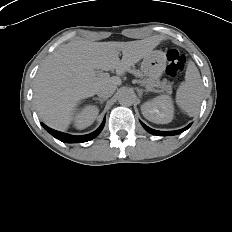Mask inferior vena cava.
<instances>
[{"mask_svg": "<svg viewBox=\"0 0 232 232\" xmlns=\"http://www.w3.org/2000/svg\"><path fill=\"white\" fill-rule=\"evenodd\" d=\"M115 90H116V84L110 80H106L100 84L96 94L100 98L107 99L114 93Z\"/></svg>", "mask_w": 232, "mask_h": 232, "instance_id": "1", "label": "inferior vena cava"}]
</instances>
